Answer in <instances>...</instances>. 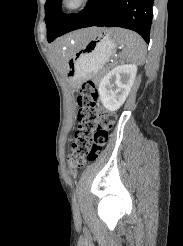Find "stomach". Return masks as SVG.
<instances>
[{
  "mask_svg": "<svg viewBox=\"0 0 183 246\" xmlns=\"http://www.w3.org/2000/svg\"><path fill=\"white\" fill-rule=\"evenodd\" d=\"M116 45L113 29H100L85 43L68 42L64 52L69 83L76 88L80 82L96 75L114 54Z\"/></svg>",
  "mask_w": 183,
  "mask_h": 246,
  "instance_id": "stomach-1",
  "label": "stomach"
}]
</instances>
